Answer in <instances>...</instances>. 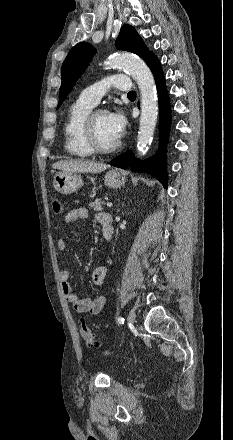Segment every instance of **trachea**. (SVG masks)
Wrapping results in <instances>:
<instances>
[{"instance_id":"1","label":"trachea","mask_w":233,"mask_h":440,"mask_svg":"<svg viewBox=\"0 0 233 440\" xmlns=\"http://www.w3.org/2000/svg\"><path fill=\"white\" fill-rule=\"evenodd\" d=\"M127 96H129V97H134V96H136V92H135V91H130V92L127 94Z\"/></svg>"}]
</instances>
